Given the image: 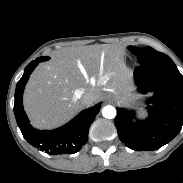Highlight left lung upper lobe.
I'll list each match as a JSON object with an SVG mask.
<instances>
[{"mask_svg":"<svg viewBox=\"0 0 183 183\" xmlns=\"http://www.w3.org/2000/svg\"><path fill=\"white\" fill-rule=\"evenodd\" d=\"M128 49L137 56L141 66H150L166 61H171L169 56L158 52L151 47L139 48L135 46H129Z\"/></svg>","mask_w":183,"mask_h":183,"instance_id":"obj_1","label":"left lung upper lobe"}]
</instances>
